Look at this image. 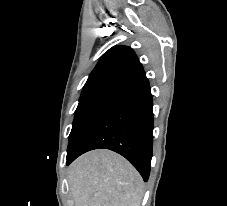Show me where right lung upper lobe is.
Returning <instances> with one entry per match:
<instances>
[{
	"instance_id": "1",
	"label": "right lung upper lobe",
	"mask_w": 227,
	"mask_h": 206,
	"mask_svg": "<svg viewBox=\"0 0 227 206\" xmlns=\"http://www.w3.org/2000/svg\"><path fill=\"white\" fill-rule=\"evenodd\" d=\"M143 77L145 72L134 51L127 46H115L101 57L85 86L108 80L131 83Z\"/></svg>"
}]
</instances>
